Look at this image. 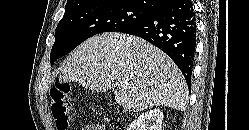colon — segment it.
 Here are the masks:
<instances>
[{"label": "colon", "mask_w": 249, "mask_h": 130, "mask_svg": "<svg viewBox=\"0 0 249 130\" xmlns=\"http://www.w3.org/2000/svg\"><path fill=\"white\" fill-rule=\"evenodd\" d=\"M50 109L57 130H68L73 117V99L68 84H57L49 93Z\"/></svg>", "instance_id": "colon-1"}]
</instances>
